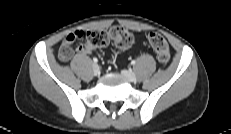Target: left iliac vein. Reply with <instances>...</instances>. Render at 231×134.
<instances>
[{
    "instance_id": "1",
    "label": "left iliac vein",
    "mask_w": 231,
    "mask_h": 134,
    "mask_svg": "<svg viewBox=\"0 0 231 134\" xmlns=\"http://www.w3.org/2000/svg\"><path fill=\"white\" fill-rule=\"evenodd\" d=\"M121 74L123 75V77L128 80L129 82H134L136 80V75L135 73H133L132 71H128V70H122Z\"/></svg>"
}]
</instances>
